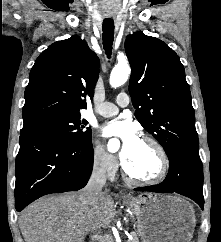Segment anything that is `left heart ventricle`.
I'll return each instance as SVG.
<instances>
[{
    "label": "left heart ventricle",
    "mask_w": 221,
    "mask_h": 242,
    "mask_svg": "<svg viewBox=\"0 0 221 242\" xmlns=\"http://www.w3.org/2000/svg\"><path fill=\"white\" fill-rule=\"evenodd\" d=\"M124 162L128 170L138 177L150 178L159 170V160L155 150L150 144L142 141Z\"/></svg>",
    "instance_id": "obj_1"
}]
</instances>
